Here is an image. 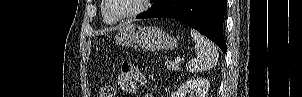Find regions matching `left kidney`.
Returning <instances> with one entry per match:
<instances>
[{"label": "left kidney", "mask_w": 302, "mask_h": 97, "mask_svg": "<svg viewBox=\"0 0 302 97\" xmlns=\"http://www.w3.org/2000/svg\"><path fill=\"white\" fill-rule=\"evenodd\" d=\"M209 85L207 79H190L182 83L172 97H206Z\"/></svg>", "instance_id": "left-kidney-1"}]
</instances>
